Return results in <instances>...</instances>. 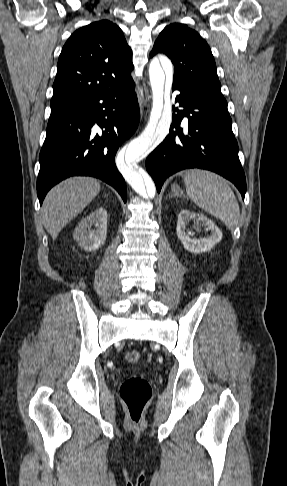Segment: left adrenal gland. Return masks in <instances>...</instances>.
Wrapping results in <instances>:
<instances>
[{
  "mask_svg": "<svg viewBox=\"0 0 287 486\" xmlns=\"http://www.w3.org/2000/svg\"><path fill=\"white\" fill-rule=\"evenodd\" d=\"M171 198L172 197H185V195L183 194V191L180 189V187L178 185H175L173 184L172 187H171Z\"/></svg>",
  "mask_w": 287,
  "mask_h": 486,
  "instance_id": "obj_1",
  "label": "left adrenal gland"
}]
</instances>
